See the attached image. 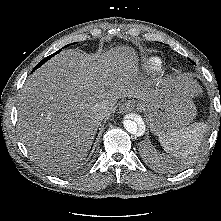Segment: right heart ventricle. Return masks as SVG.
Instances as JSON below:
<instances>
[{
	"mask_svg": "<svg viewBox=\"0 0 221 221\" xmlns=\"http://www.w3.org/2000/svg\"><path fill=\"white\" fill-rule=\"evenodd\" d=\"M164 67V61L159 57H150L144 64V71L147 74H155L162 71Z\"/></svg>",
	"mask_w": 221,
	"mask_h": 221,
	"instance_id": "e07e8e85",
	"label": "right heart ventricle"
}]
</instances>
